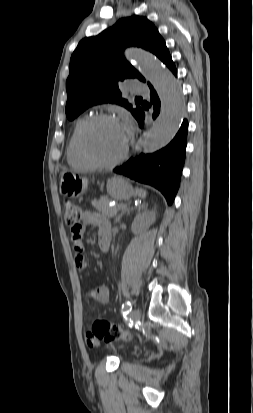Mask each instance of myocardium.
<instances>
[{"label":"myocardium","mask_w":253,"mask_h":413,"mask_svg":"<svg viewBox=\"0 0 253 413\" xmlns=\"http://www.w3.org/2000/svg\"><path fill=\"white\" fill-rule=\"evenodd\" d=\"M101 121H110V122H117L119 123L118 119L112 115L109 114H96L91 117H89L81 126L79 133H78V149L83 157V159L90 164L92 167L95 168H113L120 163H122L126 157L128 156V151H129V144L128 141L126 140V144L124 147V150L122 153L114 160L112 161H101L96 159L95 157L92 156V154L89 152L87 144H86V136L90 128Z\"/></svg>","instance_id":"f54148a6"}]
</instances>
